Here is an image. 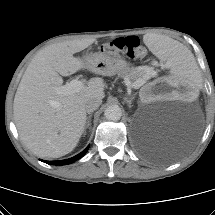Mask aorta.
Wrapping results in <instances>:
<instances>
[{
  "label": "aorta",
  "instance_id": "762f6f07",
  "mask_svg": "<svg viewBox=\"0 0 215 215\" xmlns=\"http://www.w3.org/2000/svg\"><path fill=\"white\" fill-rule=\"evenodd\" d=\"M104 116L107 120L118 121L122 116V110L118 105H111L105 109Z\"/></svg>",
  "mask_w": 215,
  "mask_h": 215
}]
</instances>
